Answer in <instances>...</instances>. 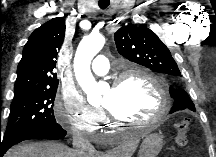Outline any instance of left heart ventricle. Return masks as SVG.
I'll list each match as a JSON object with an SVG mask.
<instances>
[{"mask_svg":"<svg viewBox=\"0 0 216 157\" xmlns=\"http://www.w3.org/2000/svg\"><path fill=\"white\" fill-rule=\"evenodd\" d=\"M102 105L118 117L142 121L156 114L160 99L157 91L147 80L131 77L117 89L110 88L104 95Z\"/></svg>","mask_w":216,"mask_h":157,"instance_id":"b2bd125f","label":"left heart ventricle"}]
</instances>
